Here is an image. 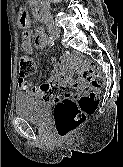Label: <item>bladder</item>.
Listing matches in <instances>:
<instances>
[{"label": "bladder", "mask_w": 123, "mask_h": 167, "mask_svg": "<svg viewBox=\"0 0 123 167\" xmlns=\"http://www.w3.org/2000/svg\"><path fill=\"white\" fill-rule=\"evenodd\" d=\"M52 108V103L47 100L33 97H19L15 102L16 113L27 121L44 125Z\"/></svg>", "instance_id": "obj_1"}]
</instances>
